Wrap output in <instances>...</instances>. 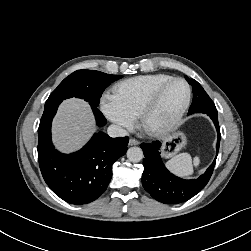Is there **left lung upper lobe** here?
I'll list each match as a JSON object with an SVG mask.
<instances>
[{
	"instance_id": "1",
	"label": "left lung upper lobe",
	"mask_w": 251,
	"mask_h": 251,
	"mask_svg": "<svg viewBox=\"0 0 251 251\" xmlns=\"http://www.w3.org/2000/svg\"><path fill=\"white\" fill-rule=\"evenodd\" d=\"M185 78L188 80V83L192 85L193 95L199 97L197 102L193 100L188 114L199 112V109H202L203 113L217 114V109L214 102L211 100L202 86L196 80H190L187 76H185Z\"/></svg>"
}]
</instances>
